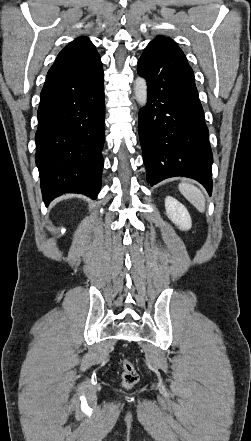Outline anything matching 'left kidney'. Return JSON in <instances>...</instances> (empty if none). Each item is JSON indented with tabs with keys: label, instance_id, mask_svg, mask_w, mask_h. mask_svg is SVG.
Listing matches in <instances>:
<instances>
[{
	"label": "left kidney",
	"instance_id": "left-kidney-1",
	"mask_svg": "<svg viewBox=\"0 0 251 441\" xmlns=\"http://www.w3.org/2000/svg\"><path fill=\"white\" fill-rule=\"evenodd\" d=\"M165 208L169 219L180 229L189 230L192 220L186 207L171 196L165 198Z\"/></svg>",
	"mask_w": 251,
	"mask_h": 441
}]
</instances>
